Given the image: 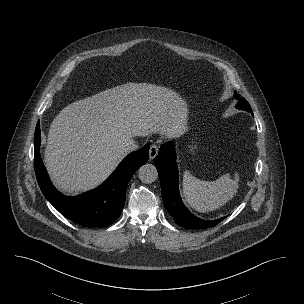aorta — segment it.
<instances>
[{
  "label": "aorta",
  "mask_w": 304,
  "mask_h": 304,
  "mask_svg": "<svg viewBox=\"0 0 304 304\" xmlns=\"http://www.w3.org/2000/svg\"><path fill=\"white\" fill-rule=\"evenodd\" d=\"M138 176L141 182L149 184L156 181L158 178V172L154 165L145 164L139 168Z\"/></svg>",
  "instance_id": "1"
}]
</instances>
